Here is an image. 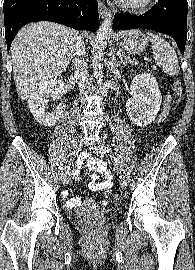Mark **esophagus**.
Wrapping results in <instances>:
<instances>
[{"instance_id": "1", "label": "esophagus", "mask_w": 195, "mask_h": 270, "mask_svg": "<svg viewBox=\"0 0 195 270\" xmlns=\"http://www.w3.org/2000/svg\"><path fill=\"white\" fill-rule=\"evenodd\" d=\"M98 10L101 18H106L111 16V11L107 8L101 0H98Z\"/></svg>"}]
</instances>
